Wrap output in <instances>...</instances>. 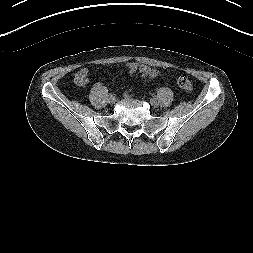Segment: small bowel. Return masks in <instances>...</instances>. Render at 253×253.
Listing matches in <instances>:
<instances>
[{
	"instance_id": "obj_1",
	"label": "small bowel",
	"mask_w": 253,
	"mask_h": 253,
	"mask_svg": "<svg viewBox=\"0 0 253 253\" xmlns=\"http://www.w3.org/2000/svg\"><path fill=\"white\" fill-rule=\"evenodd\" d=\"M126 66L131 75L141 74L147 78H154L159 75V71L147 65L129 62ZM89 79L90 72L88 68H81L75 75V82L80 87H85L89 83Z\"/></svg>"
}]
</instances>
